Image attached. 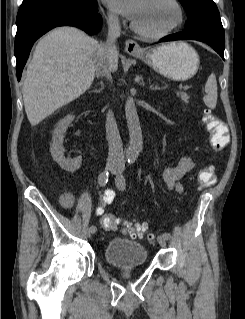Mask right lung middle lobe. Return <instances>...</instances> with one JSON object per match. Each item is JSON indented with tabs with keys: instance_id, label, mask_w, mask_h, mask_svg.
Segmentation results:
<instances>
[{
	"instance_id": "right-lung-middle-lobe-1",
	"label": "right lung middle lobe",
	"mask_w": 245,
	"mask_h": 319,
	"mask_svg": "<svg viewBox=\"0 0 245 319\" xmlns=\"http://www.w3.org/2000/svg\"><path fill=\"white\" fill-rule=\"evenodd\" d=\"M53 2H66V3H73V4H86L89 0H23L21 4V8H29L39 5H44Z\"/></svg>"
}]
</instances>
